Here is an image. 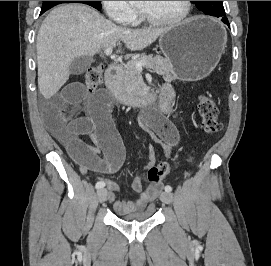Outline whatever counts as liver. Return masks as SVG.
Wrapping results in <instances>:
<instances>
[{
    "label": "liver",
    "mask_w": 271,
    "mask_h": 266,
    "mask_svg": "<svg viewBox=\"0 0 271 266\" xmlns=\"http://www.w3.org/2000/svg\"><path fill=\"white\" fill-rule=\"evenodd\" d=\"M168 28L126 29L83 4L54 8L44 19L37 36L38 87L45 99L54 96L69 79L71 62L93 56L102 48L122 43L132 51L143 50Z\"/></svg>",
    "instance_id": "liver-1"
}]
</instances>
